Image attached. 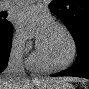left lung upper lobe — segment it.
<instances>
[{
  "mask_svg": "<svg viewBox=\"0 0 89 89\" xmlns=\"http://www.w3.org/2000/svg\"><path fill=\"white\" fill-rule=\"evenodd\" d=\"M50 10L65 24L75 41L89 31V0H54Z\"/></svg>",
  "mask_w": 89,
  "mask_h": 89,
  "instance_id": "1",
  "label": "left lung upper lobe"
}]
</instances>
